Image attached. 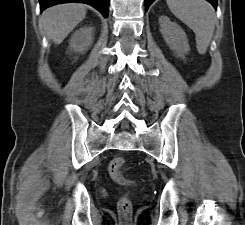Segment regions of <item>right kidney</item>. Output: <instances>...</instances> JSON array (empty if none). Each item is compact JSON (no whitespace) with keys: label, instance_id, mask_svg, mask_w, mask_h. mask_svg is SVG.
I'll use <instances>...</instances> for the list:
<instances>
[{"label":"right kidney","instance_id":"1","mask_svg":"<svg viewBox=\"0 0 245 225\" xmlns=\"http://www.w3.org/2000/svg\"><path fill=\"white\" fill-rule=\"evenodd\" d=\"M92 27H83L77 30L70 39V49L74 52L84 53L93 43Z\"/></svg>","mask_w":245,"mask_h":225}]
</instances>
